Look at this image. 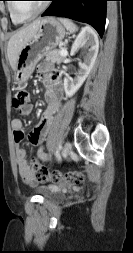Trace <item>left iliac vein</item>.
<instances>
[{
	"instance_id": "obj_1",
	"label": "left iliac vein",
	"mask_w": 133,
	"mask_h": 253,
	"mask_svg": "<svg viewBox=\"0 0 133 253\" xmlns=\"http://www.w3.org/2000/svg\"><path fill=\"white\" fill-rule=\"evenodd\" d=\"M72 149V144L70 142H66L63 147V154L67 155Z\"/></svg>"
}]
</instances>
